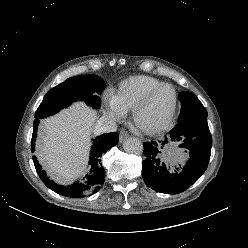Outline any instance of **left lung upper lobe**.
<instances>
[{
    "instance_id": "5c2ea615",
    "label": "left lung upper lobe",
    "mask_w": 248,
    "mask_h": 248,
    "mask_svg": "<svg viewBox=\"0 0 248 248\" xmlns=\"http://www.w3.org/2000/svg\"><path fill=\"white\" fill-rule=\"evenodd\" d=\"M178 97L181 101V111L178 120H193L208 116L203 104L194 94L184 91Z\"/></svg>"
}]
</instances>
